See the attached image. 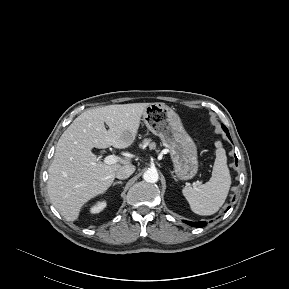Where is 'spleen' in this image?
<instances>
[{
	"label": "spleen",
	"mask_w": 289,
	"mask_h": 289,
	"mask_svg": "<svg viewBox=\"0 0 289 289\" xmlns=\"http://www.w3.org/2000/svg\"><path fill=\"white\" fill-rule=\"evenodd\" d=\"M230 186L231 176L227 166L226 153L219 144L210 180L197 187L185 186L182 193L194 213L208 216L216 213L224 204Z\"/></svg>",
	"instance_id": "obj_1"
}]
</instances>
